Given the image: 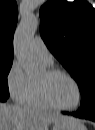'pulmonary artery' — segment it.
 Here are the masks:
<instances>
[{
	"mask_svg": "<svg viewBox=\"0 0 95 130\" xmlns=\"http://www.w3.org/2000/svg\"><path fill=\"white\" fill-rule=\"evenodd\" d=\"M32 50L34 55L41 59L44 63H51L49 50L40 36H36L32 41Z\"/></svg>",
	"mask_w": 95,
	"mask_h": 130,
	"instance_id": "1",
	"label": "pulmonary artery"
}]
</instances>
